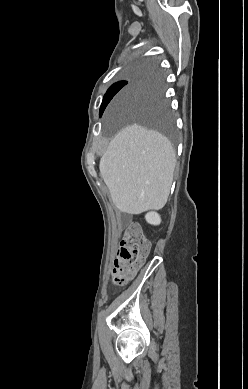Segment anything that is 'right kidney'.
Returning a JSON list of instances; mask_svg holds the SVG:
<instances>
[{
  "mask_svg": "<svg viewBox=\"0 0 248 389\" xmlns=\"http://www.w3.org/2000/svg\"><path fill=\"white\" fill-rule=\"evenodd\" d=\"M145 219L151 225H159L161 223L160 215L156 212L147 213Z\"/></svg>",
  "mask_w": 248,
  "mask_h": 389,
  "instance_id": "1",
  "label": "right kidney"
}]
</instances>
